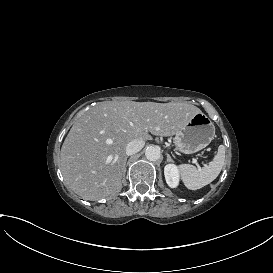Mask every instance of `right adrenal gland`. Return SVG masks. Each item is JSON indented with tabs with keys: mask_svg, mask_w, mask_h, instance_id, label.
I'll return each mask as SVG.
<instances>
[{
	"mask_svg": "<svg viewBox=\"0 0 273 273\" xmlns=\"http://www.w3.org/2000/svg\"><path fill=\"white\" fill-rule=\"evenodd\" d=\"M127 158H128V157H126V161H127ZM125 169H126V162L124 163V170H125Z\"/></svg>",
	"mask_w": 273,
	"mask_h": 273,
	"instance_id": "2a0ac1e0",
	"label": "right adrenal gland"
}]
</instances>
